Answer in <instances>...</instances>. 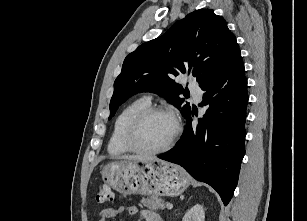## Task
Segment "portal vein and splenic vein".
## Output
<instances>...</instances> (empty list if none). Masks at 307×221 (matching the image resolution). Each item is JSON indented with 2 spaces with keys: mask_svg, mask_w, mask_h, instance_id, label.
<instances>
[{
  "mask_svg": "<svg viewBox=\"0 0 307 221\" xmlns=\"http://www.w3.org/2000/svg\"><path fill=\"white\" fill-rule=\"evenodd\" d=\"M166 208L169 209V210H171V209L173 208V205H172L171 203H167V204H166Z\"/></svg>",
  "mask_w": 307,
  "mask_h": 221,
  "instance_id": "18ae733b",
  "label": "portal vein and splenic vein"
}]
</instances>
